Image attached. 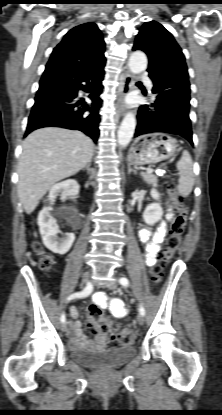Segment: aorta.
I'll return each mask as SVG.
<instances>
[{"instance_id": "762f6f07", "label": "aorta", "mask_w": 222, "mask_h": 415, "mask_svg": "<svg viewBox=\"0 0 222 415\" xmlns=\"http://www.w3.org/2000/svg\"><path fill=\"white\" fill-rule=\"evenodd\" d=\"M148 65L147 57L142 51H134L129 59L128 66L132 73L140 74L145 71ZM136 127V119L133 113L129 112L124 117L118 130V144L126 147L131 141Z\"/></svg>"}]
</instances>
